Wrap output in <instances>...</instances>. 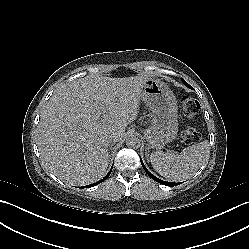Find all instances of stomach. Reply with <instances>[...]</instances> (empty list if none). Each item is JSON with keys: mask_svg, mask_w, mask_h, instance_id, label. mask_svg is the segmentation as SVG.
Wrapping results in <instances>:
<instances>
[{"mask_svg": "<svg viewBox=\"0 0 249 249\" xmlns=\"http://www.w3.org/2000/svg\"><path fill=\"white\" fill-rule=\"evenodd\" d=\"M140 99L154 116L150 128L145 131L146 141L149 146L161 149L173 141L178 132L173 93L164 83L149 79L141 88Z\"/></svg>", "mask_w": 249, "mask_h": 249, "instance_id": "obj_1", "label": "stomach"}]
</instances>
